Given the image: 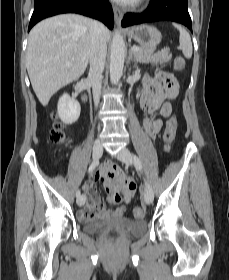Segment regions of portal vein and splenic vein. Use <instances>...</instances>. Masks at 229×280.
<instances>
[{
	"instance_id": "obj_1",
	"label": "portal vein and splenic vein",
	"mask_w": 229,
	"mask_h": 280,
	"mask_svg": "<svg viewBox=\"0 0 229 280\" xmlns=\"http://www.w3.org/2000/svg\"><path fill=\"white\" fill-rule=\"evenodd\" d=\"M131 51L134 53V52H138L139 51V48L138 47H132L131 48Z\"/></svg>"
}]
</instances>
